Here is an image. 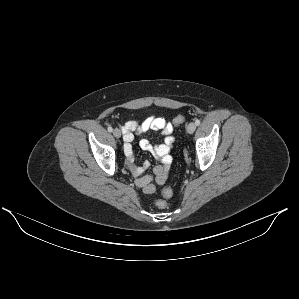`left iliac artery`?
I'll return each instance as SVG.
<instances>
[{"label": "left iliac artery", "mask_w": 299, "mask_h": 299, "mask_svg": "<svg viewBox=\"0 0 299 299\" xmlns=\"http://www.w3.org/2000/svg\"><path fill=\"white\" fill-rule=\"evenodd\" d=\"M195 124H196L197 126H199V125H200V120L197 119V120L195 121Z\"/></svg>", "instance_id": "1"}]
</instances>
